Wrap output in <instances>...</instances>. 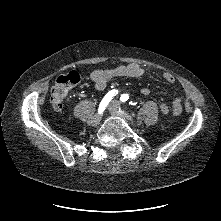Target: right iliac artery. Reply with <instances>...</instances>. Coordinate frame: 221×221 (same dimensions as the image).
<instances>
[{
    "mask_svg": "<svg viewBox=\"0 0 221 221\" xmlns=\"http://www.w3.org/2000/svg\"><path fill=\"white\" fill-rule=\"evenodd\" d=\"M118 94V91L117 90H111L109 91L105 97L103 98V100L101 101L100 103V106H99V112H102L105 107L108 105V103L111 101V99L116 95Z\"/></svg>",
    "mask_w": 221,
    "mask_h": 221,
    "instance_id": "1",
    "label": "right iliac artery"
}]
</instances>
